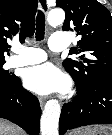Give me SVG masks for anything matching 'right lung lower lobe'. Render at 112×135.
<instances>
[{
    "label": "right lung lower lobe",
    "instance_id": "obj_1",
    "mask_svg": "<svg viewBox=\"0 0 112 135\" xmlns=\"http://www.w3.org/2000/svg\"><path fill=\"white\" fill-rule=\"evenodd\" d=\"M40 116L38 99L22 87L19 77L0 90V118L12 121L31 135H39Z\"/></svg>",
    "mask_w": 112,
    "mask_h": 135
}]
</instances>
